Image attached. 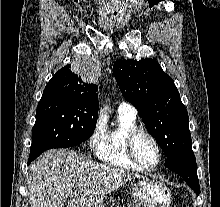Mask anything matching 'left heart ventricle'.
Returning a JSON list of instances; mask_svg holds the SVG:
<instances>
[{"mask_svg":"<svg viewBox=\"0 0 220 207\" xmlns=\"http://www.w3.org/2000/svg\"><path fill=\"white\" fill-rule=\"evenodd\" d=\"M135 152L140 162L146 166L153 165L157 161V150L152 141L145 135L137 137Z\"/></svg>","mask_w":220,"mask_h":207,"instance_id":"left-heart-ventricle-1","label":"left heart ventricle"}]
</instances>
